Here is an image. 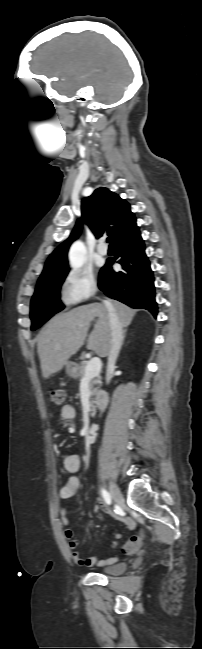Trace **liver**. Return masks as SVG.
Returning a JSON list of instances; mask_svg holds the SVG:
<instances>
[{
  "instance_id": "liver-1",
  "label": "liver",
  "mask_w": 202,
  "mask_h": 649,
  "mask_svg": "<svg viewBox=\"0 0 202 649\" xmlns=\"http://www.w3.org/2000/svg\"><path fill=\"white\" fill-rule=\"evenodd\" d=\"M112 306L122 327L129 326L135 310L120 302H114ZM95 317L98 320L88 338L87 349L101 357L108 356L111 341L108 309L100 303L76 307L54 316L38 336V355L44 378L60 371L69 358L77 353Z\"/></svg>"
}]
</instances>
